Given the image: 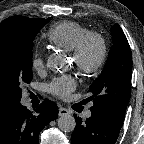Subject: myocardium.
Instances as JSON below:
<instances>
[{
	"label": "myocardium",
	"mask_w": 144,
	"mask_h": 144,
	"mask_svg": "<svg viewBox=\"0 0 144 144\" xmlns=\"http://www.w3.org/2000/svg\"><path fill=\"white\" fill-rule=\"evenodd\" d=\"M94 42L98 46V53L93 60L88 59V47ZM108 55L107 42L103 35L98 32L89 31L78 41L72 51V57L76 69L85 76L97 74L104 66Z\"/></svg>",
	"instance_id": "1"
}]
</instances>
